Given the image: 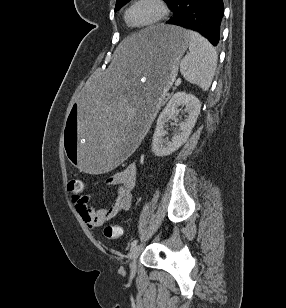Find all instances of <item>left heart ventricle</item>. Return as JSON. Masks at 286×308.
Wrapping results in <instances>:
<instances>
[{"label":"left heart ventricle","instance_id":"b2bd125f","mask_svg":"<svg viewBox=\"0 0 286 308\" xmlns=\"http://www.w3.org/2000/svg\"><path fill=\"white\" fill-rule=\"evenodd\" d=\"M159 9L151 0H143L136 4L129 13V20L134 25H144L153 21Z\"/></svg>","mask_w":286,"mask_h":308}]
</instances>
